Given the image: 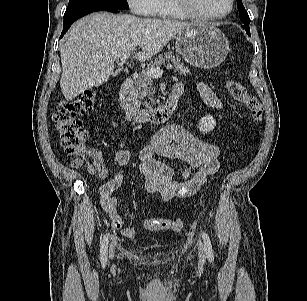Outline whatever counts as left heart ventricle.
Masks as SVG:
<instances>
[{"label": "left heart ventricle", "instance_id": "left-heart-ventricle-1", "mask_svg": "<svg viewBox=\"0 0 307 301\" xmlns=\"http://www.w3.org/2000/svg\"><path fill=\"white\" fill-rule=\"evenodd\" d=\"M192 6L201 13L217 15L226 12L230 0H191Z\"/></svg>", "mask_w": 307, "mask_h": 301}]
</instances>
